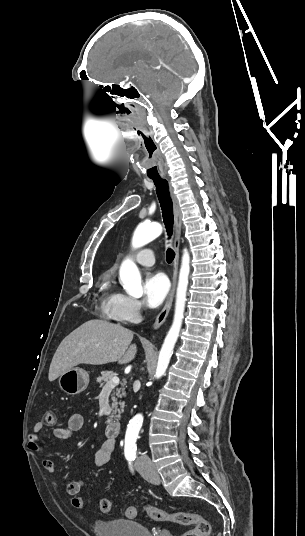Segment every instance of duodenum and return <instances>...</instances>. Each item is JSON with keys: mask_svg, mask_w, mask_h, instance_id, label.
<instances>
[{"mask_svg": "<svg viewBox=\"0 0 305 536\" xmlns=\"http://www.w3.org/2000/svg\"><path fill=\"white\" fill-rule=\"evenodd\" d=\"M123 430V425L120 422H112L106 425L105 434L109 439L118 437Z\"/></svg>", "mask_w": 305, "mask_h": 536, "instance_id": "obj_1", "label": "duodenum"}]
</instances>
